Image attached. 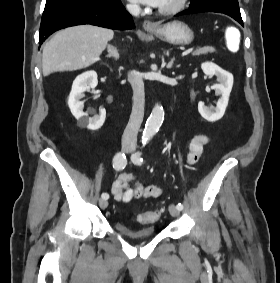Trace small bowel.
I'll use <instances>...</instances> for the list:
<instances>
[{"instance_id": "obj_1", "label": "small bowel", "mask_w": 280, "mask_h": 283, "mask_svg": "<svg viewBox=\"0 0 280 283\" xmlns=\"http://www.w3.org/2000/svg\"><path fill=\"white\" fill-rule=\"evenodd\" d=\"M209 143L210 138L205 134L194 136L189 144L187 163L195 164ZM111 194L116 201L128 203L133 199L157 198L162 194V189L155 185L143 186L130 173L124 172L114 181Z\"/></svg>"}]
</instances>
